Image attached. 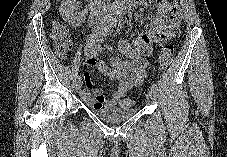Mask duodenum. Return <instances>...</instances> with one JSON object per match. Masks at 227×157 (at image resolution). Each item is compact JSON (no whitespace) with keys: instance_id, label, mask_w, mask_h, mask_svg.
<instances>
[{"instance_id":"obj_1","label":"duodenum","mask_w":227,"mask_h":157,"mask_svg":"<svg viewBox=\"0 0 227 157\" xmlns=\"http://www.w3.org/2000/svg\"><path fill=\"white\" fill-rule=\"evenodd\" d=\"M137 1L138 0H130L127 8L125 9V11L121 14V15H115L114 18H113V22L114 23H122L123 22V19L125 17V14L128 12V11H131L133 9L136 8L137 6ZM97 4V0H93V5L94 7L96 6ZM100 32L99 30L96 31V33Z\"/></svg>"}]
</instances>
